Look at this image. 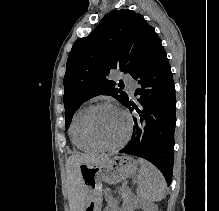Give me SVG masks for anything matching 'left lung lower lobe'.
<instances>
[{
  "instance_id": "1",
  "label": "left lung lower lobe",
  "mask_w": 219,
  "mask_h": 211,
  "mask_svg": "<svg viewBox=\"0 0 219 211\" xmlns=\"http://www.w3.org/2000/svg\"><path fill=\"white\" fill-rule=\"evenodd\" d=\"M133 78L138 83L135 96L123 102L133 117L135 126L128 144L121 153L142 157L153 163L164 175L166 182L172 181L174 164V130L176 125L175 85L166 52L156 58L144 71Z\"/></svg>"
}]
</instances>
